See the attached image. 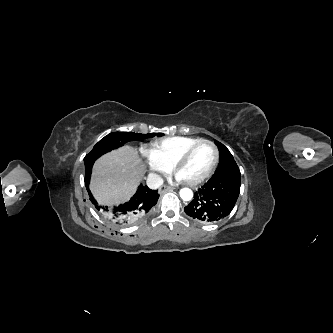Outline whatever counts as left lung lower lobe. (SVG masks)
Here are the masks:
<instances>
[{"label":"left lung lower lobe","mask_w":333,"mask_h":333,"mask_svg":"<svg viewBox=\"0 0 333 333\" xmlns=\"http://www.w3.org/2000/svg\"><path fill=\"white\" fill-rule=\"evenodd\" d=\"M241 174L238 167L228 168L199 188L184 208L187 215L203 223H214L228 216L239 196Z\"/></svg>","instance_id":"obj_1"}]
</instances>
